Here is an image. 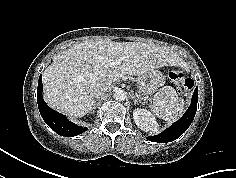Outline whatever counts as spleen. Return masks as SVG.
<instances>
[{
    "mask_svg": "<svg viewBox=\"0 0 236 178\" xmlns=\"http://www.w3.org/2000/svg\"><path fill=\"white\" fill-rule=\"evenodd\" d=\"M151 110L158 118L174 121L184 112V100L171 86H164L154 95Z\"/></svg>",
    "mask_w": 236,
    "mask_h": 178,
    "instance_id": "3e777b00",
    "label": "spleen"
}]
</instances>
